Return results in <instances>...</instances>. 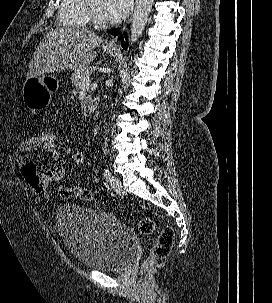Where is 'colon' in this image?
I'll list each match as a JSON object with an SVG mask.
<instances>
[{
  "label": "colon",
  "mask_w": 272,
  "mask_h": 303,
  "mask_svg": "<svg viewBox=\"0 0 272 303\" xmlns=\"http://www.w3.org/2000/svg\"><path fill=\"white\" fill-rule=\"evenodd\" d=\"M40 144L44 148L54 149L58 148L57 135L50 129L45 128L37 135ZM70 162L73 170H80L85 166V155L81 151L72 153ZM27 183L34 190L36 195L43 201L49 199L48 192L46 190L45 177L36 171V168L32 164H25L21 169ZM60 196L64 199L78 198L85 202H93V193L86 188L82 187H61L59 190ZM139 229L145 235L156 234L157 239L154 245L151 247L149 257L143 264L144 270L149 269L155 262L165 259L171 251L174 243L175 233L172 227L164 226L157 228L155 222L150 218H143L139 222Z\"/></svg>",
  "instance_id": "1"
}]
</instances>
